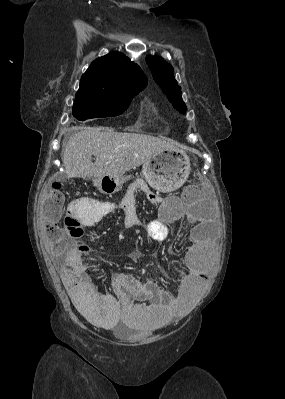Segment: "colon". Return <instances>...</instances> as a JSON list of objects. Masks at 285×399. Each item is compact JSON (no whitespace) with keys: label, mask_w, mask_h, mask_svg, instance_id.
Here are the masks:
<instances>
[{"label":"colon","mask_w":285,"mask_h":399,"mask_svg":"<svg viewBox=\"0 0 285 399\" xmlns=\"http://www.w3.org/2000/svg\"><path fill=\"white\" fill-rule=\"evenodd\" d=\"M204 186V179L202 176L198 177V184L186 193V196H193L197 191ZM64 192L59 184L54 183L45 193L40 204V215L44 221V231L48 242L54 249H59L66 241L63 237L62 228L58 221L62 216V209L64 206ZM93 304V302H91Z\"/></svg>","instance_id":"colon-1"}]
</instances>
